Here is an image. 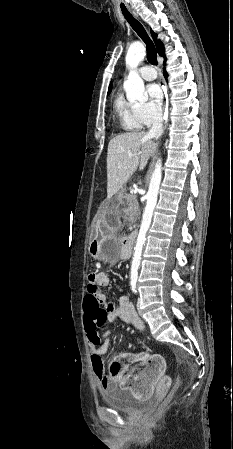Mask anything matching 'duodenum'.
<instances>
[{
	"label": "duodenum",
	"mask_w": 233,
	"mask_h": 449,
	"mask_svg": "<svg viewBox=\"0 0 233 449\" xmlns=\"http://www.w3.org/2000/svg\"><path fill=\"white\" fill-rule=\"evenodd\" d=\"M135 237L136 233H132L131 235L127 236L123 241V248L124 252L127 254H130L133 250L134 244H135Z\"/></svg>",
	"instance_id": "1"
}]
</instances>
